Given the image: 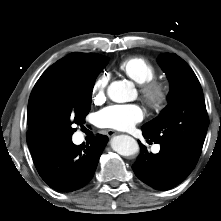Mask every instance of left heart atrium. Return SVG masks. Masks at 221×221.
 Instances as JSON below:
<instances>
[{"label": "left heart atrium", "instance_id": "left-heart-atrium-1", "mask_svg": "<svg viewBox=\"0 0 221 221\" xmlns=\"http://www.w3.org/2000/svg\"><path fill=\"white\" fill-rule=\"evenodd\" d=\"M144 117L142 109L135 104L111 105L98 114L100 126L120 131H127L141 122Z\"/></svg>", "mask_w": 221, "mask_h": 221}]
</instances>
